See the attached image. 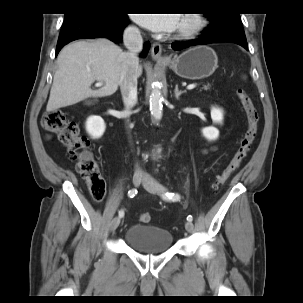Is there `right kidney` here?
<instances>
[{"instance_id": "obj_1", "label": "right kidney", "mask_w": 303, "mask_h": 303, "mask_svg": "<svg viewBox=\"0 0 303 303\" xmlns=\"http://www.w3.org/2000/svg\"><path fill=\"white\" fill-rule=\"evenodd\" d=\"M86 131L93 139L102 137L106 124L100 116H90L85 123Z\"/></svg>"}]
</instances>
